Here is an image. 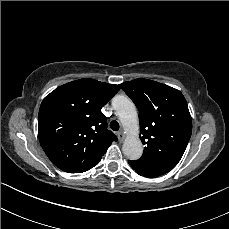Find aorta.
I'll return each instance as SVG.
<instances>
[{
    "mask_svg": "<svg viewBox=\"0 0 229 229\" xmlns=\"http://www.w3.org/2000/svg\"><path fill=\"white\" fill-rule=\"evenodd\" d=\"M115 109L127 137L123 143V154L130 160H137L143 153V146L138 138V116L134 103L126 96L117 95L112 100Z\"/></svg>",
    "mask_w": 229,
    "mask_h": 229,
    "instance_id": "762f6f07",
    "label": "aorta"
}]
</instances>
